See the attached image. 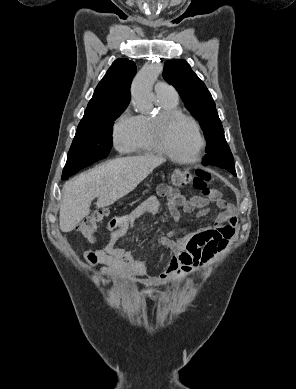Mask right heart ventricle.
Wrapping results in <instances>:
<instances>
[{"mask_svg": "<svg viewBox=\"0 0 296 389\" xmlns=\"http://www.w3.org/2000/svg\"><path fill=\"white\" fill-rule=\"evenodd\" d=\"M158 101L163 110H178V98L158 96ZM155 116L138 115L135 116L134 133L130 149L135 154H156L157 150L153 137L151 124Z\"/></svg>", "mask_w": 296, "mask_h": 389, "instance_id": "1", "label": "right heart ventricle"}]
</instances>
